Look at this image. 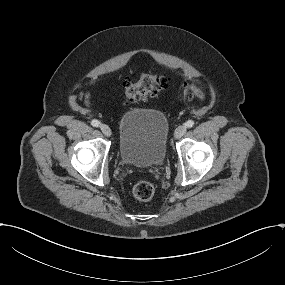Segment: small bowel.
<instances>
[{
    "mask_svg": "<svg viewBox=\"0 0 285 285\" xmlns=\"http://www.w3.org/2000/svg\"><path fill=\"white\" fill-rule=\"evenodd\" d=\"M88 86L89 89L79 93V99L87 105H92L94 103L92 98V93L93 90L97 87V81L96 80L89 81Z\"/></svg>",
    "mask_w": 285,
    "mask_h": 285,
    "instance_id": "1",
    "label": "small bowel"
}]
</instances>
